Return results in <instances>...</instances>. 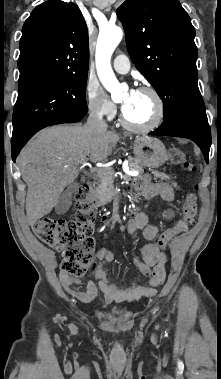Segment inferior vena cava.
I'll return each mask as SVG.
<instances>
[{"instance_id":"1","label":"inferior vena cava","mask_w":221,"mask_h":379,"mask_svg":"<svg viewBox=\"0 0 221 379\" xmlns=\"http://www.w3.org/2000/svg\"><path fill=\"white\" fill-rule=\"evenodd\" d=\"M85 127L95 131H106L107 124L103 119V111L97 107L91 108Z\"/></svg>"}]
</instances>
